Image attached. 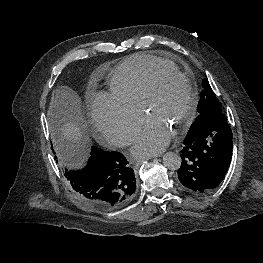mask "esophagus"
<instances>
[{
  "mask_svg": "<svg viewBox=\"0 0 263 263\" xmlns=\"http://www.w3.org/2000/svg\"><path fill=\"white\" fill-rule=\"evenodd\" d=\"M145 159L133 160L132 163L137 167L139 166Z\"/></svg>",
  "mask_w": 263,
  "mask_h": 263,
  "instance_id": "esophagus-1",
  "label": "esophagus"
}]
</instances>
